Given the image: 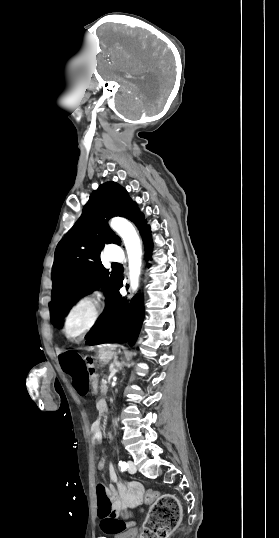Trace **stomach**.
I'll return each instance as SVG.
<instances>
[{
  "instance_id": "1",
  "label": "stomach",
  "mask_w": 279,
  "mask_h": 538,
  "mask_svg": "<svg viewBox=\"0 0 279 538\" xmlns=\"http://www.w3.org/2000/svg\"><path fill=\"white\" fill-rule=\"evenodd\" d=\"M113 356H115L114 352L103 353L101 355V362L103 364H110L112 362ZM94 390H97V387H94Z\"/></svg>"
}]
</instances>
